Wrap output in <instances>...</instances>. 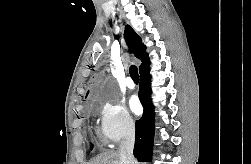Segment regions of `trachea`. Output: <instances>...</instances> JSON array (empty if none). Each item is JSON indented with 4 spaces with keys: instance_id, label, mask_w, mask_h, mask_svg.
I'll list each match as a JSON object with an SVG mask.
<instances>
[{
    "instance_id": "3493384b",
    "label": "trachea",
    "mask_w": 251,
    "mask_h": 164,
    "mask_svg": "<svg viewBox=\"0 0 251 164\" xmlns=\"http://www.w3.org/2000/svg\"><path fill=\"white\" fill-rule=\"evenodd\" d=\"M129 73L134 82L139 81L138 69L135 65L130 66Z\"/></svg>"
}]
</instances>
